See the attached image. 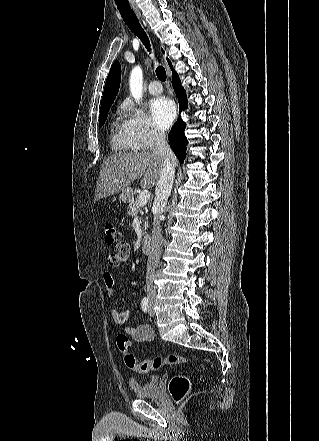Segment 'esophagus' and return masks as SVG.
<instances>
[{"mask_svg":"<svg viewBox=\"0 0 319 441\" xmlns=\"http://www.w3.org/2000/svg\"><path fill=\"white\" fill-rule=\"evenodd\" d=\"M133 10L135 11L138 17H141V13L136 6H133Z\"/></svg>","mask_w":319,"mask_h":441,"instance_id":"34e87169","label":"esophagus"}]
</instances>
